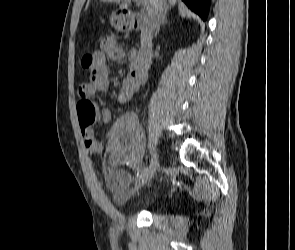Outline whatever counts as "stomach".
I'll list each match as a JSON object with an SVG mask.
<instances>
[{
  "mask_svg": "<svg viewBox=\"0 0 295 250\" xmlns=\"http://www.w3.org/2000/svg\"><path fill=\"white\" fill-rule=\"evenodd\" d=\"M110 23L118 31H123L128 27V21L122 13H113L110 18Z\"/></svg>",
  "mask_w": 295,
  "mask_h": 250,
  "instance_id": "obj_1",
  "label": "stomach"
}]
</instances>
